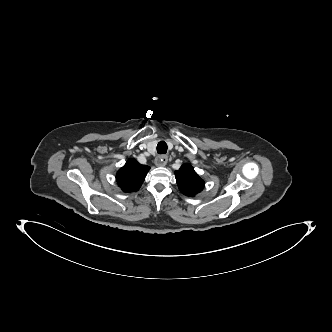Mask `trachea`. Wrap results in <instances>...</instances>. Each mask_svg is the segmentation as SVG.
Masks as SVG:
<instances>
[{"label": "trachea", "instance_id": "1", "mask_svg": "<svg viewBox=\"0 0 332 332\" xmlns=\"http://www.w3.org/2000/svg\"><path fill=\"white\" fill-rule=\"evenodd\" d=\"M157 152L159 154H165L167 152V144L166 142L164 141H160L158 144H157Z\"/></svg>", "mask_w": 332, "mask_h": 332}]
</instances>
